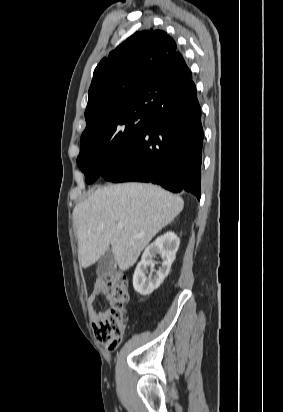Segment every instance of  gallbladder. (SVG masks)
<instances>
[{"label": "gallbladder", "mask_w": 283, "mask_h": 412, "mask_svg": "<svg viewBox=\"0 0 283 412\" xmlns=\"http://www.w3.org/2000/svg\"><path fill=\"white\" fill-rule=\"evenodd\" d=\"M116 261L111 249H108L104 255L101 256L97 268V275L100 278H104L115 272Z\"/></svg>", "instance_id": "bac80fb5"}]
</instances>
